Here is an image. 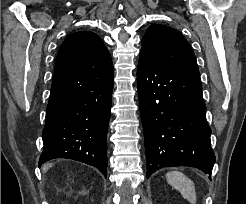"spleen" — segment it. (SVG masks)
Returning <instances> with one entry per match:
<instances>
[{
	"mask_svg": "<svg viewBox=\"0 0 246 204\" xmlns=\"http://www.w3.org/2000/svg\"><path fill=\"white\" fill-rule=\"evenodd\" d=\"M168 183L177 189L183 198L191 204H196V191L194 182L180 171H170L166 174Z\"/></svg>",
	"mask_w": 246,
	"mask_h": 204,
	"instance_id": "1",
	"label": "spleen"
}]
</instances>
